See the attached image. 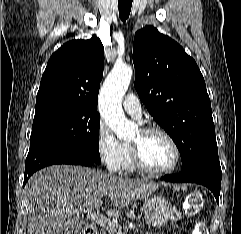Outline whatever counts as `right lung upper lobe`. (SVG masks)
<instances>
[{
  "label": "right lung upper lobe",
  "mask_w": 241,
  "mask_h": 234,
  "mask_svg": "<svg viewBox=\"0 0 241 234\" xmlns=\"http://www.w3.org/2000/svg\"><path fill=\"white\" fill-rule=\"evenodd\" d=\"M103 61L104 47L97 37L65 43L47 63L36 106L70 104L97 109Z\"/></svg>",
  "instance_id": "cb5924a9"
}]
</instances>
